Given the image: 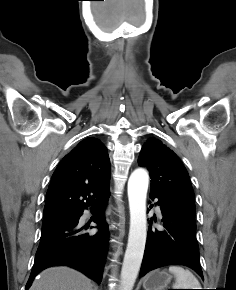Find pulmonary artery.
Listing matches in <instances>:
<instances>
[{
  "mask_svg": "<svg viewBox=\"0 0 236 290\" xmlns=\"http://www.w3.org/2000/svg\"><path fill=\"white\" fill-rule=\"evenodd\" d=\"M157 212L160 213V208L159 207H157Z\"/></svg>",
  "mask_w": 236,
  "mask_h": 290,
  "instance_id": "obj_1",
  "label": "pulmonary artery"
}]
</instances>
